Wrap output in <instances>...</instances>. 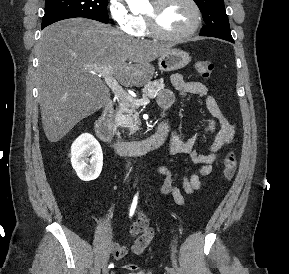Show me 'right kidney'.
<instances>
[{
	"label": "right kidney",
	"mask_w": 289,
	"mask_h": 274,
	"mask_svg": "<svg viewBox=\"0 0 289 274\" xmlns=\"http://www.w3.org/2000/svg\"><path fill=\"white\" fill-rule=\"evenodd\" d=\"M71 164L81 180L98 178L103 166V153L99 142L91 134H82L73 142Z\"/></svg>",
	"instance_id": "obj_1"
}]
</instances>
